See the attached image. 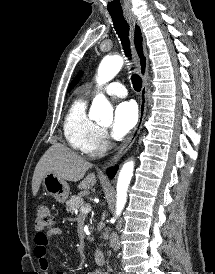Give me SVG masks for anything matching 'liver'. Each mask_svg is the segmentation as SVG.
<instances>
[{
    "label": "liver",
    "mask_w": 215,
    "mask_h": 274,
    "mask_svg": "<svg viewBox=\"0 0 215 274\" xmlns=\"http://www.w3.org/2000/svg\"><path fill=\"white\" fill-rule=\"evenodd\" d=\"M91 164L83 157L65 147L56 143L52 145L39 160L32 179V193L36 196L43 177L52 172L64 181L77 182L83 179L86 171ZM96 184L94 173L87 175L79 184V189H90Z\"/></svg>",
    "instance_id": "obj_1"
}]
</instances>
